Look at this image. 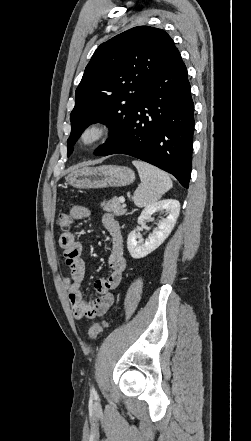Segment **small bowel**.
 I'll use <instances>...</instances> for the list:
<instances>
[{"mask_svg": "<svg viewBox=\"0 0 251 441\" xmlns=\"http://www.w3.org/2000/svg\"><path fill=\"white\" fill-rule=\"evenodd\" d=\"M91 211L85 206H76L72 212L73 219H86ZM102 223L109 233L111 252L108 259V272L94 283L99 296L88 301L82 294L85 278V266L82 259L83 246L71 232L63 233L59 238V245L63 251L65 265L69 268V275L63 277L68 299L76 319L95 318L106 314L115 302V291L121 283L126 269L123 238L121 227L115 216L105 213Z\"/></svg>", "mask_w": 251, "mask_h": 441, "instance_id": "c3829d8e", "label": "small bowel"}]
</instances>
